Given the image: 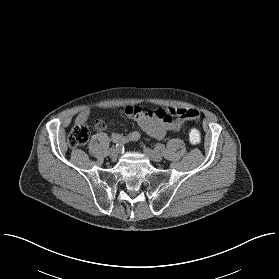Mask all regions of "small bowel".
<instances>
[{
	"mask_svg": "<svg viewBox=\"0 0 279 279\" xmlns=\"http://www.w3.org/2000/svg\"><path fill=\"white\" fill-rule=\"evenodd\" d=\"M124 113L135 120L145 133L157 139H162L169 132L179 131L188 120L198 117L197 111L185 108L143 110L140 107L127 106ZM89 115L90 110L83 109L76 116L75 125H86ZM94 127L102 131L105 129L106 123L103 120H97ZM111 138L113 141L126 144L137 141L140 138V133L138 131L113 133Z\"/></svg>",
	"mask_w": 279,
	"mask_h": 279,
	"instance_id": "small-bowel-1",
	"label": "small bowel"
}]
</instances>
